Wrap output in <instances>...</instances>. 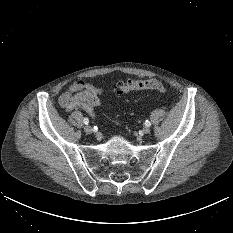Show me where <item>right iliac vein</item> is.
Instances as JSON below:
<instances>
[{"mask_svg":"<svg viewBox=\"0 0 233 233\" xmlns=\"http://www.w3.org/2000/svg\"><path fill=\"white\" fill-rule=\"evenodd\" d=\"M84 131H85V133L90 134V133H92L93 129H92L91 126L86 125V126L84 127Z\"/></svg>","mask_w":233,"mask_h":233,"instance_id":"1","label":"right iliac vein"}]
</instances>
